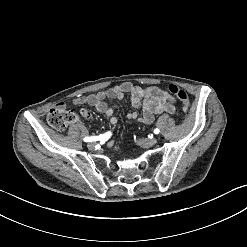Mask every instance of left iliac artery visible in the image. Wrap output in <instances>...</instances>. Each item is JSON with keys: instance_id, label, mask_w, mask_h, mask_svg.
I'll return each mask as SVG.
<instances>
[{"instance_id": "1", "label": "left iliac artery", "mask_w": 247, "mask_h": 247, "mask_svg": "<svg viewBox=\"0 0 247 247\" xmlns=\"http://www.w3.org/2000/svg\"><path fill=\"white\" fill-rule=\"evenodd\" d=\"M160 130L158 128L154 129L155 134H159Z\"/></svg>"}]
</instances>
